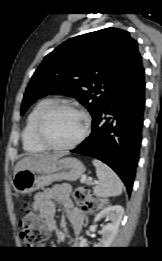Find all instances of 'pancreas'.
<instances>
[{
	"instance_id": "1",
	"label": "pancreas",
	"mask_w": 162,
	"mask_h": 261,
	"mask_svg": "<svg viewBox=\"0 0 162 261\" xmlns=\"http://www.w3.org/2000/svg\"><path fill=\"white\" fill-rule=\"evenodd\" d=\"M85 183H86V184H90V181H89V180H86Z\"/></svg>"
}]
</instances>
